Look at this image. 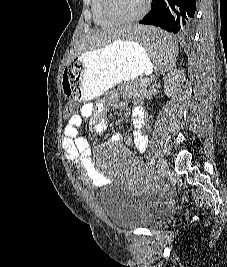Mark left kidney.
Instances as JSON below:
<instances>
[{
  "instance_id": "1",
  "label": "left kidney",
  "mask_w": 227,
  "mask_h": 267,
  "mask_svg": "<svg viewBox=\"0 0 227 267\" xmlns=\"http://www.w3.org/2000/svg\"><path fill=\"white\" fill-rule=\"evenodd\" d=\"M184 70L175 69L168 73L164 78V91L168 97L174 96L179 90L181 84L185 81Z\"/></svg>"
}]
</instances>
